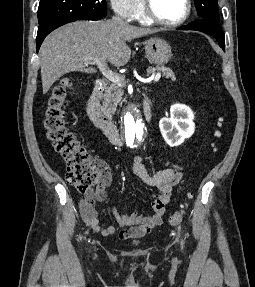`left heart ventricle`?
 <instances>
[{
    "label": "left heart ventricle",
    "mask_w": 255,
    "mask_h": 287,
    "mask_svg": "<svg viewBox=\"0 0 255 287\" xmlns=\"http://www.w3.org/2000/svg\"><path fill=\"white\" fill-rule=\"evenodd\" d=\"M117 33H126V32H117ZM115 39H132V38H115ZM113 48H132V47H113ZM152 48H159V47H152Z\"/></svg>",
    "instance_id": "b2bd125f"
}]
</instances>
